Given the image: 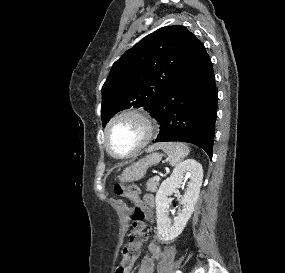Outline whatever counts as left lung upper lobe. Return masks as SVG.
Returning a JSON list of instances; mask_svg holds the SVG:
<instances>
[{"instance_id":"1","label":"left lung upper lobe","mask_w":285,"mask_h":273,"mask_svg":"<svg viewBox=\"0 0 285 273\" xmlns=\"http://www.w3.org/2000/svg\"><path fill=\"white\" fill-rule=\"evenodd\" d=\"M192 37L184 26H166L118 59L102 87L103 126L117 112L132 106L152 114L178 75Z\"/></svg>"}]
</instances>
